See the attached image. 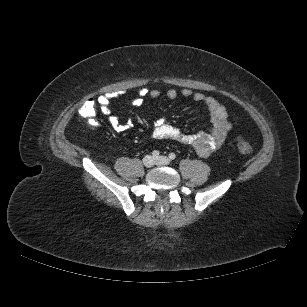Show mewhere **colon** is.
Segmentation results:
<instances>
[{
	"label": "colon",
	"mask_w": 307,
	"mask_h": 307,
	"mask_svg": "<svg viewBox=\"0 0 307 307\" xmlns=\"http://www.w3.org/2000/svg\"><path fill=\"white\" fill-rule=\"evenodd\" d=\"M97 108V102L93 99H89L81 106L79 112L82 118L87 121H92L97 113ZM236 145L242 154L249 155L253 153L251 144L241 136L236 138Z\"/></svg>",
	"instance_id": "colon-1"
}]
</instances>
